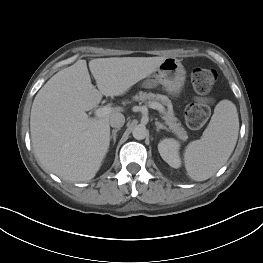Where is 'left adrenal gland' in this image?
Segmentation results:
<instances>
[{
  "label": "left adrenal gland",
  "mask_w": 263,
  "mask_h": 263,
  "mask_svg": "<svg viewBox=\"0 0 263 263\" xmlns=\"http://www.w3.org/2000/svg\"><path fill=\"white\" fill-rule=\"evenodd\" d=\"M155 125H156V131L158 132L160 129H164L166 131H169V129L163 125L162 123H160L159 121H156L155 122Z\"/></svg>",
  "instance_id": "a2214340"
}]
</instances>
